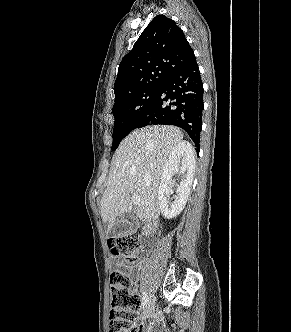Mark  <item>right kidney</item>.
<instances>
[{"instance_id": "ca27d5eb", "label": "right kidney", "mask_w": 291, "mask_h": 332, "mask_svg": "<svg viewBox=\"0 0 291 332\" xmlns=\"http://www.w3.org/2000/svg\"><path fill=\"white\" fill-rule=\"evenodd\" d=\"M182 161L180 163V159ZM195 169V155L193 147L189 142L182 141L177 144L166 160L161 176V183L158 190L159 208L162 215L172 219L179 215L184 209L193 182ZM181 176V182L176 185L174 202L169 199L172 194V187L175 185L173 176Z\"/></svg>"}]
</instances>
